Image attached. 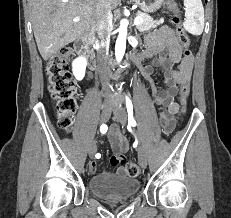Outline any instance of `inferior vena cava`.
Listing matches in <instances>:
<instances>
[{
    "label": "inferior vena cava",
    "mask_w": 231,
    "mask_h": 218,
    "mask_svg": "<svg viewBox=\"0 0 231 218\" xmlns=\"http://www.w3.org/2000/svg\"><path fill=\"white\" fill-rule=\"evenodd\" d=\"M112 13L107 0H98L96 6V43L99 45L97 51V62L102 89L109 94V72H110V56L109 44L110 33L112 30Z\"/></svg>",
    "instance_id": "inferior-vena-cava-1"
}]
</instances>
